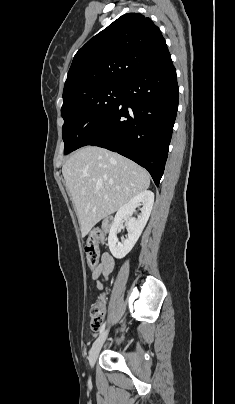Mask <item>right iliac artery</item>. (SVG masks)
<instances>
[{
  "label": "right iliac artery",
  "mask_w": 235,
  "mask_h": 404,
  "mask_svg": "<svg viewBox=\"0 0 235 404\" xmlns=\"http://www.w3.org/2000/svg\"><path fill=\"white\" fill-rule=\"evenodd\" d=\"M104 329H105V324H103L102 327L100 328L99 335H101L103 333Z\"/></svg>",
  "instance_id": "82829eb1"
}]
</instances>
